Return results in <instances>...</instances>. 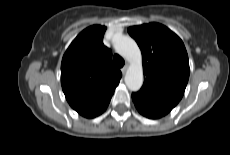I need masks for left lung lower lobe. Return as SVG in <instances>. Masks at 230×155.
<instances>
[{"label":"left lung lower lobe","mask_w":230,"mask_h":155,"mask_svg":"<svg viewBox=\"0 0 230 155\" xmlns=\"http://www.w3.org/2000/svg\"><path fill=\"white\" fill-rule=\"evenodd\" d=\"M137 110L145 117L157 119L168 114L175 106L143 92L132 93Z\"/></svg>","instance_id":"1"}]
</instances>
